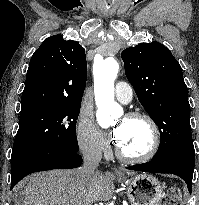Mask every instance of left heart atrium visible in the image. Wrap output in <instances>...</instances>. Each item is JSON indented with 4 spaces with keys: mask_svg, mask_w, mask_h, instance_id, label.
Instances as JSON below:
<instances>
[{
    "mask_svg": "<svg viewBox=\"0 0 199 205\" xmlns=\"http://www.w3.org/2000/svg\"><path fill=\"white\" fill-rule=\"evenodd\" d=\"M123 132H124V129L121 125L116 126L111 133L112 139L118 143L123 136Z\"/></svg>",
    "mask_w": 199,
    "mask_h": 205,
    "instance_id": "1",
    "label": "left heart atrium"
}]
</instances>
